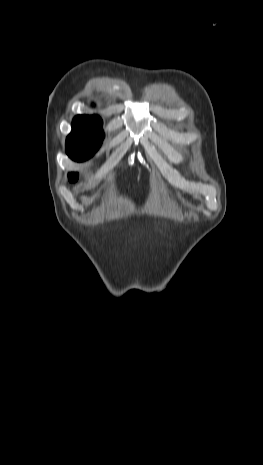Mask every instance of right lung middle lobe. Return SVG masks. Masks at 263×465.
<instances>
[{
	"instance_id": "dd1d6c3e",
	"label": "right lung middle lobe",
	"mask_w": 263,
	"mask_h": 465,
	"mask_svg": "<svg viewBox=\"0 0 263 465\" xmlns=\"http://www.w3.org/2000/svg\"><path fill=\"white\" fill-rule=\"evenodd\" d=\"M104 133L102 123L73 120L72 131L66 139V153L74 161H85L99 149ZM78 173H70V182L78 180Z\"/></svg>"
}]
</instances>
